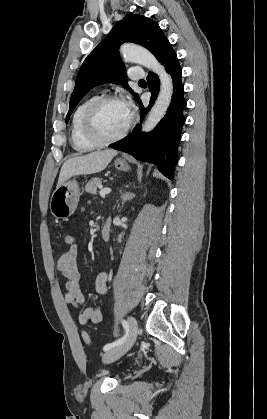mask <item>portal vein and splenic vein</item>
<instances>
[{
  "label": "portal vein and splenic vein",
  "mask_w": 267,
  "mask_h": 419,
  "mask_svg": "<svg viewBox=\"0 0 267 419\" xmlns=\"http://www.w3.org/2000/svg\"><path fill=\"white\" fill-rule=\"evenodd\" d=\"M110 192H111V189H109V188H101L99 194H100L101 197H104L105 195L109 194Z\"/></svg>",
  "instance_id": "portal-vein-and-splenic-vein-1"
}]
</instances>
